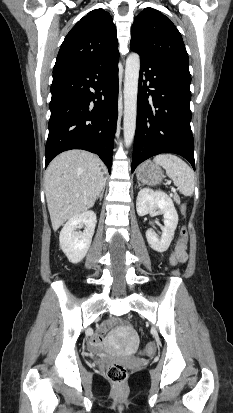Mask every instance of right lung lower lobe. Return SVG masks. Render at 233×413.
<instances>
[{
    "label": "right lung lower lobe",
    "mask_w": 233,
    "mask_h": 413,
    "mask_svg": "<svg viewBox=\"0 0 233 413\" xmlns=\"http://www.w3.org/2000/svg\"><path fill=\"white\" fill-rule=\"evenodd\" d=\"M119 54L53 74L45 167L59 153L84 149L109 172L117 123Z\"/></svg>",
    "instance_id": "obj_1"
}]
</instances>
